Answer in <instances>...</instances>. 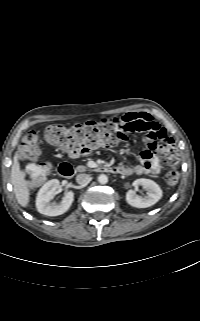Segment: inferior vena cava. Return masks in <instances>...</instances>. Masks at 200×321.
<instances>
[{
  "label": "inferior vena cava",
  "instance_id": "1",
  "mask_svg": "<svg viewBox=\"0 0 200 321\" xmlns=\"http://www.w3.org/2000/svg\"><path fill=\"white\" fill-rule=\"evenodd\" d=\"M88 180H89V175L88 174L82 173V174H78L76 176V182L78 184H81V185L85 184V183L88 182Z\"/></svg>",
  "mask_w": 200,
  "mask_h": 321
}]
</instances>
